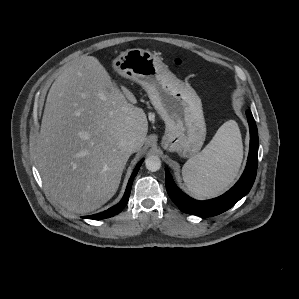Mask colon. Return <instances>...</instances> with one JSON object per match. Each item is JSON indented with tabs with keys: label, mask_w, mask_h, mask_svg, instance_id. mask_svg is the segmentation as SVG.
<instances>
[{
	"label": "colon",
	"mask_w": 299,
	"mask_h": 299,
	"mask_svg": "<svg viewBox=\"0 0 299 299\" xmlns=\"http://www.w3.org/2000/svg\"><path fill=\"white\" fill-rule=\"evenodd\" d=\"M174 63H175L176 65H180V64H182V60H181L180 58H176V59L174 60Z\"/></svg>",
	"instance_id": "1"
}]
</instances>
